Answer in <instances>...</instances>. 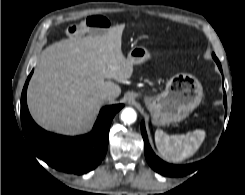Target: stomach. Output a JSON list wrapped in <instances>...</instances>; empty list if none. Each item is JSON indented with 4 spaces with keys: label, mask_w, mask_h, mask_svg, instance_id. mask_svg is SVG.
Wrapping results in <instances>:
<instances>
[{
    "label": "stomach",
    "mask_w": 245,
    "mask_h": 195,
    "mask_svg": "<svg viewBox=\"0 0 245 195\" xmlns=\"http://www.w3.org/2000/svg\"><path fill=\"white\" fill-rule=\"evenodd\" d=\"M150 58L149 51L141 46L131 49L128 60L133 65ZM203 88L199 80L188 73H178L167 82L163 92L156 96H144L143 101L151 113L155 125H169L185 119L201 102Z\"/></svg>",
    "instance_id": "0dacf381"
}]
</instances>
